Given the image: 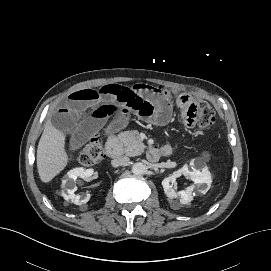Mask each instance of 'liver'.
I'll list each match as a JSON object with an SVG mask.
<instances>
[{
	"label": "liver",
	"instance_id": "6515ba94",
	"mask_svg": "<svg viewBox=\"0 0 271 271\" xmlns=\"http://www.w3.org/2000/svg\"><path fill=\"white\" fill-rule=\"evenodd\" d=\"M68 163L65 135L56 129L49 118L37 149V168L42 182L51 181Z\"/></svg>",
	"mask_w": 271,
	"mask_h": 271
}]
</instances>
